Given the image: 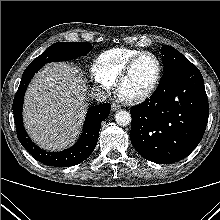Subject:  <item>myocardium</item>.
<instances>
[{
    "label": "myocardium",
    "instance_id": "myocardium-1",
    "mask_svg": "<svg viewBox=\"0 0 220 220\" xmlns=\"http://www.w3.org/2000/svg\"><path fill=\"white\" fill-rule=\"evenodd\" d=\"M143 56H151L152 58H154V60L157 63V73H156V77L152 83V85L149 87V89L147 91H145L144 93L135 96V97H124L121 95L120 93V87L123 83V81L127 78V76L129 75L130 71L132 70L133 66L135 65V63ZM162 72H163V67H162V62L160 60V58L154 54L153 52L150 51H141L138 54H136L135 56H133L127 63L126 65L123 67V69L121 70V72L118 74L115 82H114V86H115V92L117 94V96L124 102L129 103V104H138L141 103L145 100H147L149 97L152 96V94L156 91L161 77H162Z\"/></svg>",
    "mask_w": 220,
    "mask_h": 220
}]
</instances>
